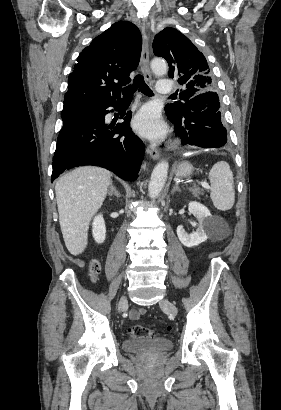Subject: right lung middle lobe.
<instances>
[{
    "label": "right lung middle lobe",
    "mask_w": 281,
    "mask_h": 410,
    "mask_svg": "<svg viewBox=\"0 0 281 410\" xmlns=\"http://www.w3.org/2000/svg\"><path fill=\"white\" fill-rule=\"evenodd\" d=\"M96 110V107L90 106H74L63 108L62 110V120L63 127L70 125L71 123L92 114Z\"/></svg>",
    "instance_id": "dd1d6c3e"
}]
</instances>
